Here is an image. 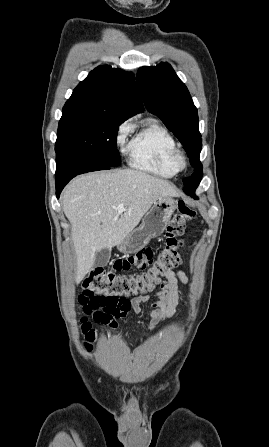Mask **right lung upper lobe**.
I'll use <instances>...</instances> for the list:
<instances>
[{
    "instance_id": "right-lung-upper-lobe-1",
    "label": "right lung upper lobe",
    "mask_w": 269,
    "mask_h": 447,
    "mask_svg": "<svg viewBox=\"0 0 269 447\" xmlns=\"http://www.w3.org/2000/svg\"><path fill=\"white\" fill-rule=\"evenodd\" d=\"M143 111L134 75L102 65L74 89L62 114L125 121Z\"/></svg>"
}]
</instances>
